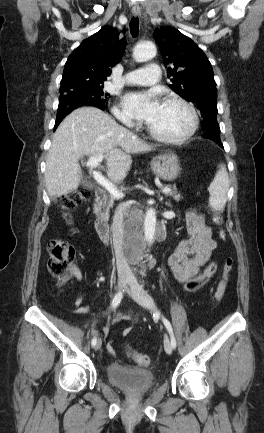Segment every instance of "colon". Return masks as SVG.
Returning <instances> with one entry per match:
<instances>
[{"instance_id": "obj_1", "label": "colon", "mask_w": 264, "mask_h": 433, "mask_svg": "<svg viewBox=\"0 0 264 433\" xmlns=\"http://www.w3.org/2000/svg\"><path fill=\"white\" fill-rule=\"evenodd\" d=\"M90 195V191L80 189L64 196L60 200V208L63 211L64 217L67 222L71 223V216L69 212L81 203L88 200L90 198ZM212 221L216 226H220L222 224V217L217 212H213ZM218 237L224 241L226 239L225 231L219 229ZM48 254L49 272L53 276L57 277L61 282L66 281L73 271L72 262L75 256L74 247L72 246V244H70L64 239L54 238L48 243ZM232 266L233 260L231 258H227L224 262L221 280L219 281L215 290L214 298L216 302L221 301L225 294ZM216 270V263H210L201 273L184 283V290L186 292H194L200 289L214 276ZM128 355L131 356L140 365L148 366L151 363L150 357L145 354H141L128 349Z\"/></svg>"}]
</instances>
